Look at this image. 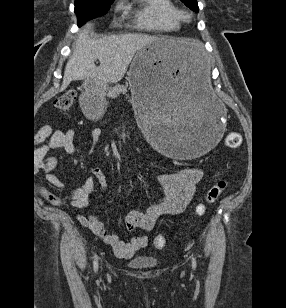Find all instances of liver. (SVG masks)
<instances>
[{
  "mask_svg": "<svg viewBox=\"0 0 286 308\" xmlns=\"http://www.w3.org/2000/svg\"><path fill=\"white\" fill-rule=\"evenodd\" d=\"M91 24L85 25L74 44L68 60L61 90L74 80L93 79L100 85L117 83L125 75L129 64L139 49L161 38L145 34H124L92 39L89 36ZM164 39V38H162ZM172 54L189 61L199 56L201 43L191 39H166ZM100 65L97 67L95 61Z\"/></svg>",
  "mask_w": 286,
  "mask_h": 308,
  "instance_id": "liver-1",
  "label": "liver"
}]
</instances>
